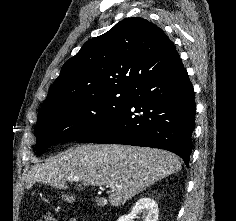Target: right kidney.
Listing matches in <instances>:
<instances>
[{"mask_svg":"<svg viewBox=\"0 0 236 221\" xmlns=\"http://www.w3.org/2000/svg\"><path fill=\"white\" fill-rule=\"evenodd\" d=\"M158 213L159 210L156 201L148 197H143L135 203L128 215L121 216L117 221H133L138 214H143L144 221H157Z\"/></svg>","mask_w":236,"mask_h":221,"instance_id":"right-kidney-1","label":"right kidney"}]
</instances>
